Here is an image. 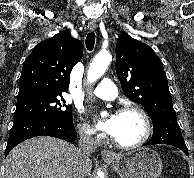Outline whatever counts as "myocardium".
<instances>
[{
	"label": "myocardium",
	"mask_w": 194,
	"mask_h": 178,
	"mask_svg": "<svg viewBox=\"0 0 194 178\" xmlns=\"http://www.w3.org/2000/svg\"><path fill=\"white\" fill-rule=\"evenodd\" d=\"M125 112L137 113L142 118L143 123H144V133L139 140H137L134 143H130V144L121 143L118 140H116L113 136H111V141L118 148L134 149V148L142 146L148 141L152 133V122H151V119L148 113L137 105H125L121 107L120 109H118L117 111L118 114L125 113Z\"/></svg>",
	"instance_id": "obj_1"
}]
</instances>
